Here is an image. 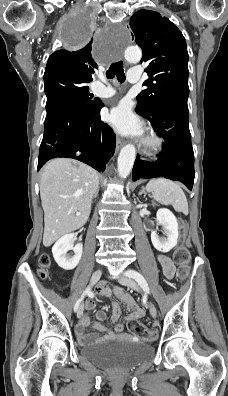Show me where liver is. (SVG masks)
Listing matches in <instances>:
<instances>
[{
    "label": "liver",
    "mask_w": 228,
    "mask_h": 396,
    "mask_svg": "<svg viewBox=\"0 0 228 396\" xmlns=\"http://www.w3.org/2000/svg\"><path fill=\"white\" fill-rule=\"evenodd\" d=\"M98 188L97 171L82 162L56 158L45 165L40 180L45 247L85 225Z\"/></svg>",
    "instance_id": "6515ba94"
}]
</instances>
